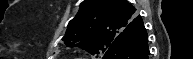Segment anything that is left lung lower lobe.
Segmentation results:
<instances>
[{"mask_svg":"<svg viewBox=\"0 0 193 59\" xmlns=\"http://www.w3.org/2000/svg\"><path fill=\"white\" fill-rule=\"evenodd\" d=\"M148 38L140 18L127 26L125 33L113 42L103 59H149Z\"/></svg>","mask_w":193,"mask_h":59,"instance_id":"obj_1","label":"left lung lower lobe"}]
</instances>
